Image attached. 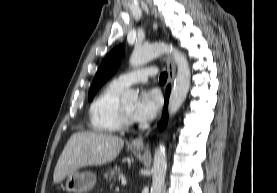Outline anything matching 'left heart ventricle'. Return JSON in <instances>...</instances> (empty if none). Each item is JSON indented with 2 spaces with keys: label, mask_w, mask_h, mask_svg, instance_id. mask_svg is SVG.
<instances>
[{
  "label": "left heart ventricle",
  "mask_w": 277,
  "mask_h": 193,
  "mask_svg": "<svg viewBox=\"0 0 277 193\" xmlns=\"http://www.w3.org/2000/svg\"><path fill=\"white\" fill-rule=\"evenodd\" d=\"M135 102H130V103H126V104H123V107L124 109L126 110V112L132 116V113H133V110L135 108Z\"/></svg>",
  "instance_id": "left-heart-ventricle-1"
}]
</instances>
